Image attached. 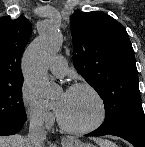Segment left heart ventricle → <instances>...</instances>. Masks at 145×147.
I'll return each instance as SVG.
<instances>
[{
    "label": "left heart ventricle",
    "instance_id": "left-heart-ventricle-1",
    "mask_svg": "<svg viewBox=\"0 0 145 147\" xmlns=\"http://www.w3.org/2000/svg\"><path fill=\"white\" fill-rule=\"evenodd\" d=\"M55 107L69 125L83 127L92 124L99 116V106L94 96L85 89L61 93Z\"/></svg>",
    "mask_w": 145,
    "mask_h": 147
}]
</instances>
